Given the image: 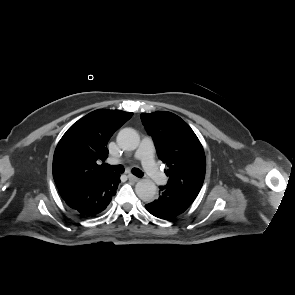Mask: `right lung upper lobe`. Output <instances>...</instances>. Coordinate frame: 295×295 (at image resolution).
Listing matches in <instances>:
<instances>
[{"mask_svg":"<svg viewBox=\"0 0 295 295\" xmlns=\"http://www.w3.org/2000/svg\"><path fill=\"white\" fill-rule=\"evenodd\" d=\"M133 113L98 109L74 123L59 141L53 178L59 189L93 184L114 172L99 165L108 157L107 142Z\"/></svg>","mask_w":295,"mask_h":295,"instance_id":"right-lung-upper-lobe-1","label":"right lung upper lobe"}]
</instances>
